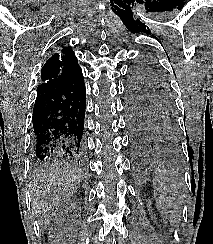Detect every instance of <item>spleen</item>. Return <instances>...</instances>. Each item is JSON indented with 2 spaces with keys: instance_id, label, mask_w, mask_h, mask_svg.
Segmentation results:
<instances>
[{
  "instance_id": "3e777b00",
  "label": "spleen",
  "mask_w": 213,
  "mask_h": 244,
  "mask_svg": "<svg viewBox=\"0 0 213 244\" xmlns=\"http://www.w3.org/2000/svg\"><path fill=\"white\" fill-rule=\"evenodd\" d=\"M159 191L156 204L160 214L173 223L181 209V195L186 190L181 174L169 166L158 172L154 178Z\"/></svg>"
}]
</instances>
